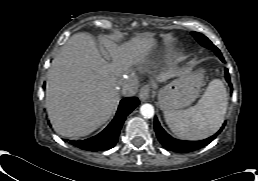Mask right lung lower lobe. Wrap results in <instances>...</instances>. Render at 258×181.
Segmentation results:
<instances>
[{
	"label": "right lung lower lobe",
	"instance_id": "right-lung-lower-lobe-1",
	"mask_svg": "<svg viewBox=\"0 0 258 181\" xmlns=\"http://www.w3.org/2000/svg\"><path fill=\"white\" fill-rule=\"evenodd\" d=\"M139 104L136 97L121 100L116 116L112 122L98 135L86 140H70L69 143L88 151L111 149L118 141V136L126 116Z\"/></svg>",
	"mask_w": 258,
	"mask_h": 181
}]
</instances>
